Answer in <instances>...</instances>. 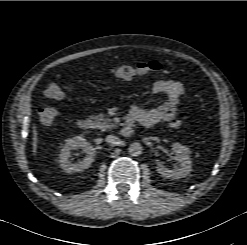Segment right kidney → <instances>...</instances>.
Listing matches in <instances>:
<instances>
[{"label":"right kidney","instance_id":"right-kidney-1","mask_svg":"<svg viewBox=\"0 0 247 245\" xmlns=\"http://www.w3.org/2000/svg\"><path fill=\"white\" fill-rule=\"evenodd\" d=\"M81 148L86 154L83 161L72 163L69 160L70 151ZM96 151L94 147L88 143L82 136H75L67 140L59 154V162L62 169L67 173H74L89 168L94 161Z\"/></svg>","mask_w":247,"mask_h":245}]
</instances>
